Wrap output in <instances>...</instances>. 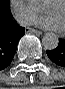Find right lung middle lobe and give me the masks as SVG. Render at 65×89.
I'll list each match as a JSON object with an SVG mask.
<instances>
[{"instance_id": "obj_1", "label": "right lung middle lobe", "mask_w": 65, "mask_h": 89, "mask_svg": "<svg viewBox=\"0 0 65 89\" xmlns=\"http://www.w3.org/2000/svg\"><path fill=\"white\" fill-rule=\"evenodd\" d=\"M0 5L9 10V0H0Z\"/></svg>"}]
</instances>
